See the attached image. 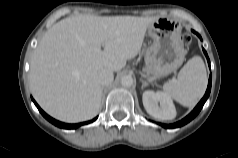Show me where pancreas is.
<instances>
[{
    "instance_id": "obj_1",
    "label": "pancreas",
    "mask_w": 238,
    "mask_h": 158,
    "mask_svg": "<svg viewBox=\"0 0 238 158\" xmlns=\"http://www.w3.org/2000/svg\"><path fill=\"white\" fill-rule=\"evenodd\" d=\"M146 71L150 73V70L146 69Z\"/></svg>"
}]
</instances>
